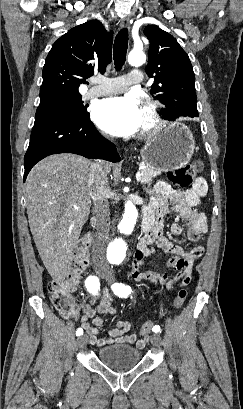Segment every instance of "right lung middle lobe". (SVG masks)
I'll return each mask as SVG.
<instances>
[{
    "instance_id": "right-lung-middle-lobe-1",
    "label": "right lung middle lobe",
    "mask_w": 243,
    "mask_h": 409,
    "mask_svg": "<svg viewBox=\"0 0 243 409\" xmlns=\"http://www.w3.org/2000/svg\"><path fill=\"white\" fill-rule=\"evenodd\" d=\"M51 113L83 119L89 116L81 95L69 98H52L40 101L36 114Z\"/></svg>"
}]
</instances>
